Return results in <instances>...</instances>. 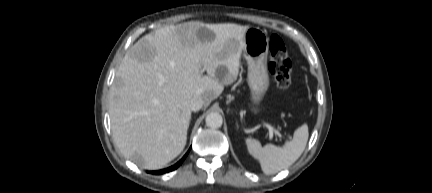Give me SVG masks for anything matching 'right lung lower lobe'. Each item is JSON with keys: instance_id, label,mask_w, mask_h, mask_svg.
Here are the masks:
<instances>
[{"instance_id": "1", "label": "right lung lower lobe", "mask_w": 432, "mask_h": 193, "mask_svg": "<svg viewBox=\"0 0 432 193\" xmlns=\"http://www.w3.org/2000/svg\"><path fill=\"white\" fill-rule=\"evenodd\" d=\"M187 155H188V152L184 155V157L179 162H177L175 165H173V166H171V167H169L167 169H163V170H159V171H150V173H152V174H163V173H166V172H170V171L178 168L181 165V163L184 161V159L186 158Z\"/></svg>"}]
</instances>
